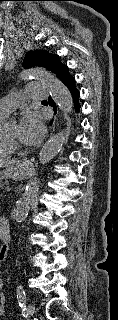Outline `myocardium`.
Here are the masks:
<instances>
[{"label":"myocardium","instance_id":"1","mask_svg":"<svg viewBox=\"0 0 118 320\" xmlns=\"http://www.w3.org/2000/svg\"><path fill=\"white\" fill-rule=\"evenodd\" d=\"M0 137L2 141L12 150H23L24 147L14 141H12L10 138H8L4 133V128H0Z\"/></svg>","mask_w":118,"mask_h":320}]
</instances>
